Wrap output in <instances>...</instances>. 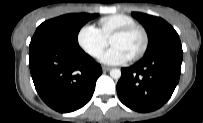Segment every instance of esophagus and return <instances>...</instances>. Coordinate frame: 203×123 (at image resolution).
<instances>
[{"label": "esophagus", "mask_w": 203, "mask_h": 123, "mask_svg": "<svg viewBox=\"0 0 203 123\" xmlns=\"http://www.w3.org/2000/svg\"><path fill=\"white\" fill-rule=\"evenodd\" d=\"M102 70H103L104 72H106V71L111 70V68H110V67H107V66H103V67H102Z\"/></svg>", "instance_id": "34e87169"}]
</instances>
